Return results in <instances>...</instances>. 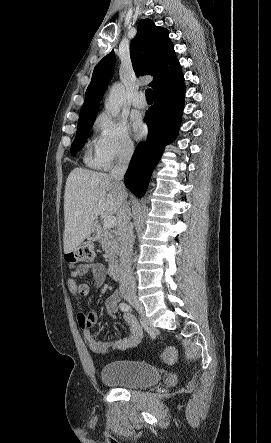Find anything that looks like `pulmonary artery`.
Returning <instances> with one entry per match:
<instances>
[{
    "label": "pulmonary artery",
    "instance_id": "pulmonary-artery-1",
    "mask_svg": "<svg viewBox=\"0 0 271 443\" xmlns=\"http://www.w3.org/2000/svg\"><path fill=\"white\" fill-rule=\"evenodd\" d=\"M133 105L139 109H143L147 106V100H146V96H145L144 92L139 91L135 95V97L133 99Z\"/></svg>",
    "mask_w": 271,
    "mask_h": 443
}]
</instances>
